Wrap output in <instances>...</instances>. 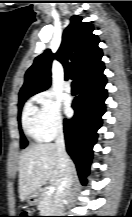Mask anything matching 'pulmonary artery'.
<instances>
[{
    "label": "pulmonary artery",
    "mask_w": 132,
    "mask_h": 217,
    "mask_svg": "<svg viewBox=\"0 0 132 217\" xmlns=\"http://www.w3.org/2000/svg\"><path fill=\"white\" fill-rule=\"evenodd\" d=\"M64 90L66 91V92H71V86H70V84L69 83H66L65 85H64Z\"/></svg>",
    "instance_id": "obj_1"
}]
</instances>
